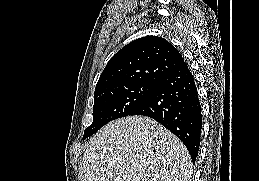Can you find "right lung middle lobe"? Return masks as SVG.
I'll return each mask as SVG.
<instances>
[{"mask_svg":"<svg viewBox=\"0 0 259 181\" xmlns=\"http://www.w3.org/2000/svg\"><path fill=\"white\" fill-rule=\"evenodd\" d=\"M155 85V83H135L95 93L93 123L86 128L83 139L96 133L112 120L131 115L149 99Z\"/></svg>","mask_w":259,"mask_h":181,"instance_id":"dd1d6c3e","label":"right lung middle lobe"}]
</instances>
